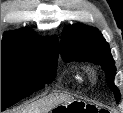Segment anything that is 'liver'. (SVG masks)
Returning <instances> with one entry per match:
<instances>
[{"instance_id": "1", "label": "liver", "mask_w": 123, "mask_h": 113, "mask_svg": "<svg viewBox=\"0 0 123 113\" xmlns=\"http://www.w3.org/2000/svg\"><path fill=\"white\" fill-rule=\"evenodd\" d=\"M69 99L67 96H49L21 109L19 113H48L52 108Z\"/></svg>"}]
</instances>
